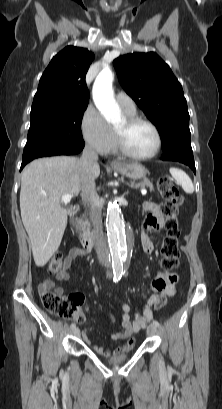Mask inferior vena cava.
<instances>
[{
	"instance_id": "602c4592",
	"label": "inferior vena cava",
	"mask_w": 222,
	"mask_h": 409,
	"mask_svg": "<svg viewBox=\"0 0 222 409\" xmlns=\"http://www.w3.org/2000/svg\"><path fill=\"white\" fill-rule=\"evenodd\" d=\"M97 161L98 154L90 145H86L79 161L82 172L85 175V181L82 187V199L90 210L89 214L94 229L97 258L102 265L108 266V250L102 230L101 208L97 204L95 181L91 174L92 168L98 164Z\"/></svg>"
}]
</instances>
